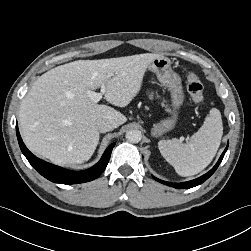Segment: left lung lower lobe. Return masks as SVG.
I'll list each match as a JSON object with an SVG mask.
<instances>
[{
  "instance_id": "left-lung-lower-lobe-1",
  "label": "left lung lower lobe",
  "mask_w": 251,
  "mask_h": 251,
  "mask_svg": "<svg viewBox=\"0 0 251 251\" xmlns=\"http://www.w3.org/2000/svg\"><path fill=\"white\" fill-rule=\"evenodd\" d=\"M227 148H228V145L225 148L222 155L220 156V158H219L218 162L216 163V165L209 172H207L206 174H204L203 176H201V177H199L197 179L187 181V182H183V183H170V182L162 181V180L157 179L155 177H154V179L156 181L160 182V183H163L165 185L172 186V187L178 188V189H189V188L195 187L197 185H200L204 181H206L216 171V169L218 168L219 164L221 163V161H222V159H223V157L225 155V152L227 151Z\"/></svg>"
}]
</instances>
